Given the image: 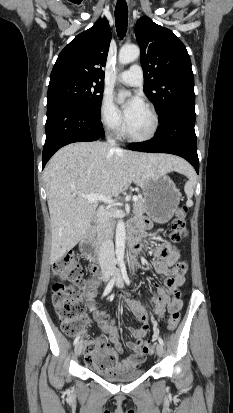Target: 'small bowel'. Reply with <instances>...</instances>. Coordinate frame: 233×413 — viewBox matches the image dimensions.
<instances>
[{
    "label": "small bowel",
    "instance_id": "small-bowel-1",
    "mask_svg": "<svg viewBox=\"0 0 233 413\" xmlns=\"http://www.w3.org/2000/svg\"><path fill=\"white\" fill-rule=\"evenodd\" d=\"M150 226L149 221L141 220L138 223L139 229H146ZM149 238H155L150 236ZM142 248L139 247V252ZM153 266L157 273L165 276V287L156 285V296L153 298V304H142L138 300H134L128 294L119 295V301L123 302L134 317L141 323L139 328H129L130 335L135 338V341H129L126 343V347L130 349L133 354L124 360L117 361L118 371H125L127 369H134L140 366L146 353L143 350V338L149 329V318L152 315L161 318L167 311H171L177 304L181 308L180 292L179 288L184 283V275L187 271V264L185 262H179L178 253L172 251L167 243H162L157 246L154 251ZM97 281H91L84 289V298L94 313V318L98 322L99 326L106 333V337L101 338L105 345L109 348L110 345L114 346V353L121 354L123 352V346L119 342V333L115 320L103 310H98L95 303V295L97 288Z\"/></svg>",
    "mask_w": 233,
    "mask_h": 413
}]
</instances>
